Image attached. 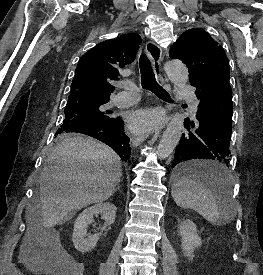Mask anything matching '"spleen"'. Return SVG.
Instances as JSON below:
<instances>
[{
	"label": "spleen",
	"instance_id": "obj_1",
	"mask_svg": "<svg viewBox=\"0 0 263 275\" xmlns=\"http://www.w3.org/2000/svg\"><path fill=\"white\" fill-rule=\"evenodd\" d=\"M196 165L223 174L225 179L219 183V195H214L211 190L195 180L179 179L173 183L171 189L175 203L181 208L195 210L213 225L222 226L229 223L234 217L229 171L217 162L202 161Z\"/></svg>",
	"mask_w": 263,
	"mask_h": 275
}]
</instances>
